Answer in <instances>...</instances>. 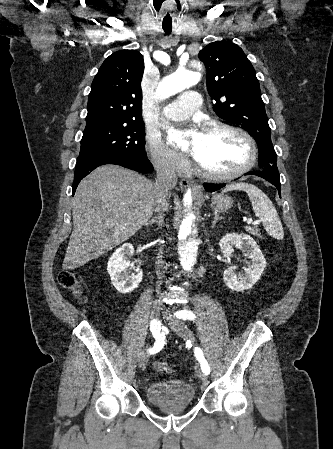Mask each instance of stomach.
Instances as JSON below:
<instances>
[{"mask_svg": "<svg viewBox=\"0 0 333 449\" xmlns=\"http://www.w3.org/2000/svg\"><path fill=\"white\" fill-rule=\"evenodd\" d=\"M212 207L219 211V212H225L229 208H231L233 201L232 198L225 196L223 194H215L212 197Z\"/></svg>", "mask_w": 333, "mask_h": 449, "instance_id": "1", "label": "stomach"}]
</instances>
